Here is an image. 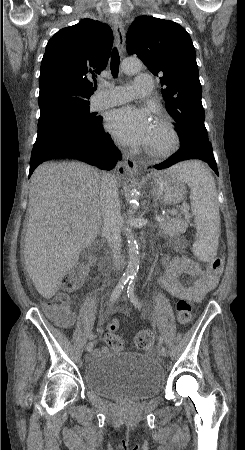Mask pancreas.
I'll return each instance as SVG.
<instances>
[{"label":"pancreas","mask_w":245,"mask_h":450,"mask_svg":"<svg viewBox=\"0 0 245 450\" xmlns=\"http://www.w3.org/2000/svg\"><path fill=\"white\" fill-rule=\"evenodd\" d=\"M190 215L188 212H184V217L180 215L175 218L166 216L164 220L158 222L160 233L167 236H178L184 233L189 224Z\"/></svg>","instance_id":"obj_1"}]
</instances>
